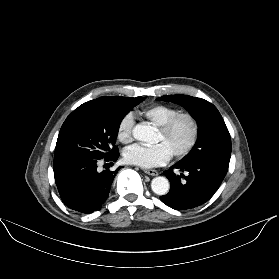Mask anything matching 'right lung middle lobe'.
<instances>
[{"label": "right lung middle lobe", "mask_w": 279, "mask_h": 279, "mask_svg": "<svg viewBox=\"0 0 279 279\" xmlns=\"http://www.w3.org/2000/svg\"><path fill=\"white\" fill-rule=\"evenodd\" d=\"M144 99H110L79 106L61 127L54 161L103 159L116 152L115 142L122 119Z\"/></svg>", "instance_id": "1"}]
</instances>
